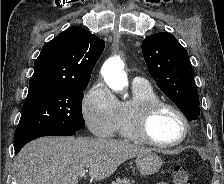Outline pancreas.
Masks as SVG:
<instances>
[{
  "instance_id": "pancreas-1",
  "label": "pancreas",
  "mask_w": 224,
  "mask_h": 184,
  "mask_svg": "<svg viewBox=\"0 0 224 184\" xmlns=\"http://www.w3.org/2000/svg\"><path fill=\"white\" fill-rule=\"evenodd\" d=\"M134 181L130 180L128 178H117L115 182H112L111 184H133Z\"/></svg>"
}]
</instances>
